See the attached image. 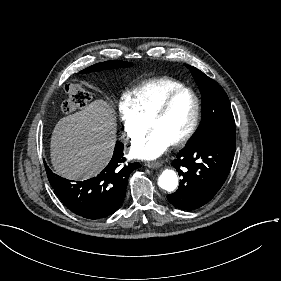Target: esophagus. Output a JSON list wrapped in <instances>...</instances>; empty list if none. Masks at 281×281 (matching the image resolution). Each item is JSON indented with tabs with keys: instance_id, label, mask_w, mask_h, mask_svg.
Wrapping results in <instances>:
<instances>
[{
	"instance_id": "obj_1",
	"label": "esophagus",
	"mask_w": 281,
	"mask_h": 281,
	"mask_svg": "<svg viewBox=\"0 0 281 281\" xmlns=\"http://www.w3.org/2000/svg\"><path fill=\"white\" fill-rule=\"evenodd\" d=\"M162 165V163H160V162H152V163H148L147 164V166L149 167V168H158V167H160Z\"/></svg>"
}]
</instances>
